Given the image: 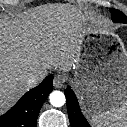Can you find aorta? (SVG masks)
<instances>
[{
    "label": "aorta",
    "instance_id": "aorta-1",
    "mask_svg": "<svg viewBox=\"0 0 127 127\" xmlns=\"http://www.w3.org/2000/svg\"><path fill=\"white\" fill-rule=\"evenodd\" d=\"M66 98L63 92L53 91L50 94V103L54 107H61L65 104Z\"/></svg>",
    "mask_w": 127,
    "mask_h": 127
}]
</instances>
